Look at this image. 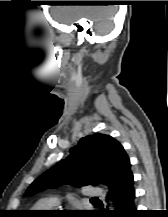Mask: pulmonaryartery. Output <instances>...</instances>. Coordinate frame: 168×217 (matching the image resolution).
Listing matches in <instances>:
<instances>
[{
    "label": "pulmonary artery",
    "mask_w": 168,
    "mask_h": 217,
    "mask_svg": "<svg viewBox=\"0 0 168 217\" xmlns=\"http://www.w3.org/2000/svg\"><path fill=\"white\" fill-rule=\"evenodd\" d=\"M84 195L86 198H97V197H103L104 196V191L102 188L99 187H93L89 186L84 189ZM49 202L53 205L57 204L59 201L57 198H51Z\"/></svg>",
    "instance_id": "e3ab8cb5"
}]
</instances>
